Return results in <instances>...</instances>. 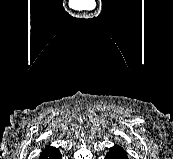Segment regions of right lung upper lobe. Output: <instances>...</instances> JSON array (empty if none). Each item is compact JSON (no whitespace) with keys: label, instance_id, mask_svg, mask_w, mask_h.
Segmentation results:
<instances>
[{"label":"right lung upper lobe","instance_id":"obj_1","mask_svg":"<svg viewBox=\"0 0 173 159\" xmlns=\"http://www.w3.org/2000/svg\"><path fill=\"white\" fill-rule=\"evenodd\" d=\"M55 150H57L56 148H54V147H47V148H45L42 152H41V154H40V156L41 155H43V154H45V153H49V152H52V151H55Z\"/></svg>","mask_w":173,"mask_h":159}]
</instances>
